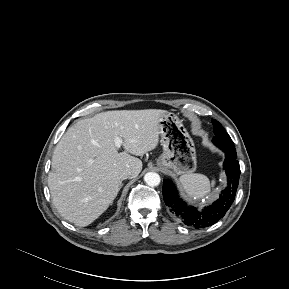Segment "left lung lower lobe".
<instances>
[{"label":"left lung lower lobe","instance_id":"0a47b994","mask_svg":"<svg viewBox=\"0 0 289 289\" xmlns=\"http://www.w3.org/2000/svg\"><path fill=\"white\" fill-rule=\"evenodd\" d=\"M220 148V147H219ZM225 152L224 169L227 175V187L220 197L211 205L198 210L188 206L178 195L171 180L163 182V198L171 213L181 218L183 222L194 228L211 226L224 217L231 207L237 192L240 176V166L235 148H220Z\"/></svg>","mask_w":289,"mask_h":289}]
</instances>
